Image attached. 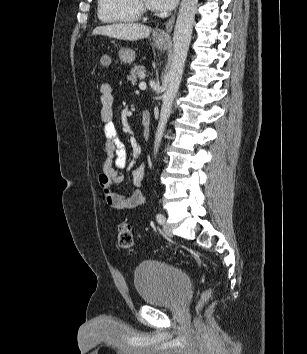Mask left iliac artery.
<instances>
[{
    "label": "left iliac artery",
    "instance_id": "obj_1",
    "mask_svg": "<svg viewBox=\"0 0 307 354\" xmlns=\"http://www.w3.org/2000/svg\"><path fill=\"white\" fill-rule=\"evenodd\" d=\"M156 220H157V222H158L159 224H163L164 221H165V218H164V216H163L161 213H158V214L156 215Z\"/></svg>",
    "mask_w": 307,
    "mask_h": 354
}]
</instances>
